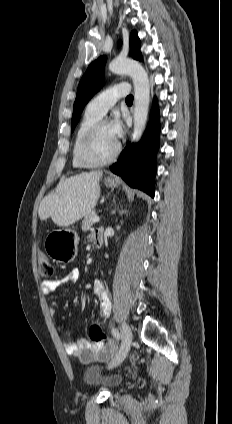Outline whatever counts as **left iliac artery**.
<instances>
[{"mask_svg":"<svg viewBox=\"0 0 232 424\" xmlns=\"http://www.w3.org/2000/svg\"><path fill=\"white\" fill-rule=\"evenodd\" d=\"M110 313V306L107 305L103 310V316H108ZM112 333L115 336L116 339H120V334L116 328L112 329Z\"/></svg>","mask_w":232,"mask_h":424,"instance_id":"1","label":"left iliac artery"}]
</instances>
